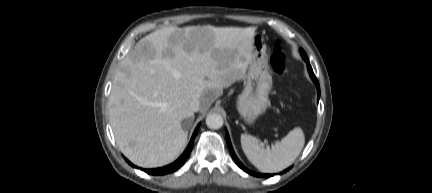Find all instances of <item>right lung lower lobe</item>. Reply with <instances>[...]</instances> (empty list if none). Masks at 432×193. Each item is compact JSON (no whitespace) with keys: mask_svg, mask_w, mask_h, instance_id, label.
Masks as SVG:
<instances>
[{"mask_svg":"<svg viewBox=\"0 0 432 193\" xmlns=\"http://www.w3.org/2000/svg\"><path fill=\"white\" fill-rule=\"evenodd\" d=\"M198 128H199V125L196 127V129H195V131H194V133H193V135H192V138H191V140H190V142H189V144H188L186 150H185L184 153L179 157V159H177L174 163H172V164H170V165H167V166H165V167H162V168H157V169H143V171H145V172L148 173V174H152V175H162V174H167V173L174 172V171H176L177 169H179V168L184 164V162L186 161L187 157L189 156V154H190V152H191V150H192L193 142H194V138H195V135H196V132H197ZM125 160H126V161L131 165V166L135 167V166H134L132 163H130L126 158H125Z\"/></svg>","mask_w":432,"mask_h":193,"instance_id":"1","label":"right lung lower lobe"}]
</instances>
